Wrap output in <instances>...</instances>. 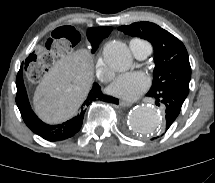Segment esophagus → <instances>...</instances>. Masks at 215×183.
<instances>
[{
    "mask_svg": "<svg viewBox=\"0 0 215 183\" xmlns=\"http://www.w3.org/2000/svg\"><path fill=\"white\" fill-rule=\"evenodd\" d=\"M119 105H120L121 107H130V106L133 105V102H128V101H123V100H121V101L119 102Z\"/></svg>",
    "mask_w": 215,
    "mask_h": 183,
    "instance_id": "esophagus-1",
    "label": "esophagus"
}]
</instances>
